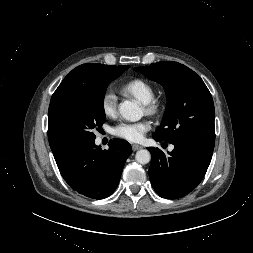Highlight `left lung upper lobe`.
Returning <instances> with one entry per match:
<instances>
[{
  "label": "left lung upper lobe",
  "instance_id": "5c2ea615",
  "mask_svg": "<svg viewBox=\"0 0 253 253\" xmlns=\"http://www.w3.org/2000/svg\"><path fill=\"white\" fill-rule=\"evenodd\" d=\"M134 70L160 83L167 95V110L154 137L168 143L193 141L214 148V104L198 74L173 61L135 67Z\"/></svg>",
  "mask_w": 253,
  "mask_h": 253
}]
</instances>
